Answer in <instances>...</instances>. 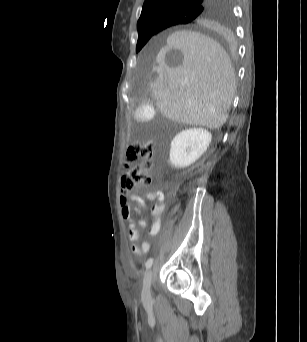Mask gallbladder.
I'll use <instances>...</instances> for the list:
<instances>
[{
    "label": "gallbladder",
    "instance_id": "obj_1",
    "mask_svg": "<svg viewBox=\"0 0 307 342\" xmlns=\"http://www.w3.org/2000/svg\"><path fill=\"white\" fill-rule=\"evenodd\" d=\"M137 109L134 113L135 118H138L139 123H148L151 117L150 109L154 106L148 103H139L135 106Z\"/></svg>",
    "mask_w": 307,
    "mask_h": 342
}]
</instances>
